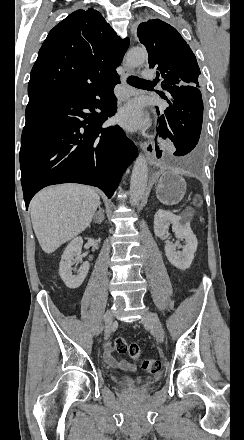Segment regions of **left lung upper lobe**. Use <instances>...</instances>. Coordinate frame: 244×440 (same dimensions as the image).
Listing matches in <instances>:
<instances>
[{"instance_id":"1","label":"left lung upper lobe","mask_w":244,"mask_h":440,"mask_svg":"<svg viewBox=\"0 0 244 440\" xmlns=\"http://www.w3.org/2000/svg\"><path fill=\"white\" fill-rule=\"evenodd\" d=\"M137 36L148 51L149 67L162 76V84L199 86L201 72L196 57L174 27L151 19L138 26Z\"/></svg>"}]
</instances>
